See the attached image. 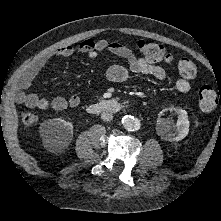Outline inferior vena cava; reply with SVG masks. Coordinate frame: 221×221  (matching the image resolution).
<instances>
[{
	"label": "inferior vena cava",
	"mask_w": 221,
	"mask_h": 221,
	"mask_svg": "<svg viewBox=\"0 0 221 221\" xmlns=\"http://www.w3.org/2000/svg\"><path fill=\"white\" fill-rule=\"evenodd\" d=\"M101 119L103 121H111L113 119V114L108 111H103L101 113Z\"/></svg>",
	"instance_id": "inferior-vena-cava-1"
}]
</instances>
